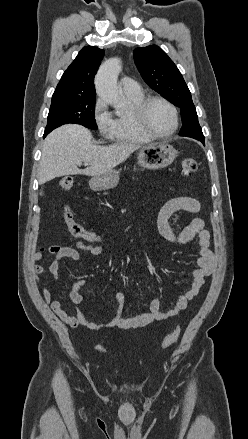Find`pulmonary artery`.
I'll return each mask as SVG.
<instances>
[{
  "mask_svg": "<svg viewBox=\"0 0 248 439\" xmlns=\"http://www.w3.org/2000/svg\"><path fill=\"white\" fill-rule=\"evenodd\" d=\"M120 85L124 93L135 94L141 91L139 84L131 77H123L120 81Z\"/></svg>",
  "mask_w": 248,
  "mask_h": 439,
  "instance_id": "e3ab8cb5",
  "label": "pulmonary artery"
}]
</instances>
